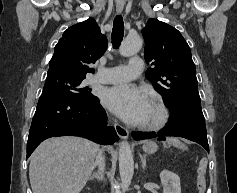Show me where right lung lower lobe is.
<instances>
[{
    "label": "right lung lower lobe",
    "instance_id": "98d812e1",
    "mask_svg": "<svg viewBox=\"0 0 237 193\" xmlns=\"http://www.w3.org/2000/svg\"><path fill=\"white\" fill-rule=\"evenodd\" d=\"M57 136H79L103 145L119 140L114 128L107 126L97 97L76 102L58 93H42L29 131L27 158L43 140Z\"/></svg>",
    "mask_w": 237,
    "mask_h": 193
}]
</instances>
